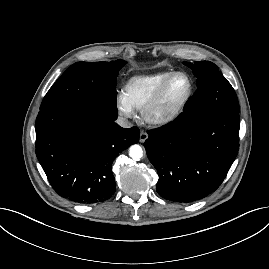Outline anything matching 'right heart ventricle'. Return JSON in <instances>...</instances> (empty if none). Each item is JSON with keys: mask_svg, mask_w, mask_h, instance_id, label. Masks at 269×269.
I'll return each mask as SVG.
<instances>
[{"mask_svg": "<svg viewBox=\"0 0 269 269\" xmlns=\"http://www.w3.org/2000/svg\"><path fill=\"white\" fill-rule=\"evenodd\" d=\"M172 73L161 71L132 77L125 84L123 94L133 109L142 110L161 83Z\"/></svg>", "mask_w": 269, "mask_h": 269, "instance_id": "e07e8e85", "label": "right heart ventricle"}]
</instances>
